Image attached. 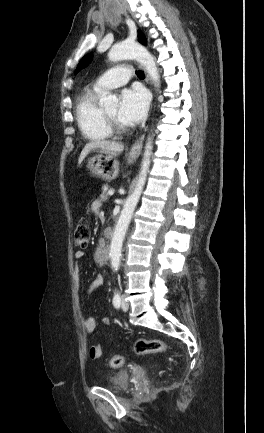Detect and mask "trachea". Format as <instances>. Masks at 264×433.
Wrapping results in <instances>:
<instances>
[{
	"label": "trachea",
	"mask_w": 264,
	"mask_h": 433,
	"mask_svg": "<svg viewBox=\"0 0 264 433\" xmlns=\"http://www.w3.org/2000/svg\"><path fill=\"white\" fill-rule=\"evenodd\" d=\"M137 76H138L139 78H141V79H144V73H143V71L138 70V72H137Z\"/></svg>",
	"instance_id": "obj_1"
}]
</instances>
